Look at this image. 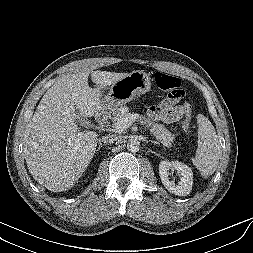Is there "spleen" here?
Instances as JSON below:
<instances>
[{
  "label": "spleen",
  "instance_id": "obj_1",
  "mask_svg": "<svg viewBox=\"0 0 253 253\" xmlns=\"http://www.w3.org/2000/svg\"><path fill=\"white\" fill-rule=\"evenodd\" d=\"M198 122V148L193 165L201 172L203 177L212 175L219 163L221 150L218 136L214 126L208 118L199 114Z\"/></svg>",
  "mask_w": 253,
  "mask_h": 253
}]
</instances>
